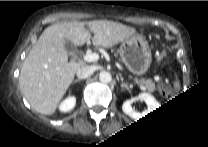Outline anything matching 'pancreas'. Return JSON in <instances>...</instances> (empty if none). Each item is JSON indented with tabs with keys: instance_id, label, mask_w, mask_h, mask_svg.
<instances>
[{
	"instance_id": "cf45deb5",
	"label": "pancreas",
	"mask_w": 208,
	"mask_h": 147,
	"mask_svg": "<svg viewBox=\"0 0 208 147\" xmlns=\"http://www.w3.org/2000/svg\"><path fill=\"white\" fill-rule=\"evenodd\" d=\"M147 87H148L149 90H154V89H155L154 84L148 83V84H147Z\"/></svg>"
}]
</instances>
